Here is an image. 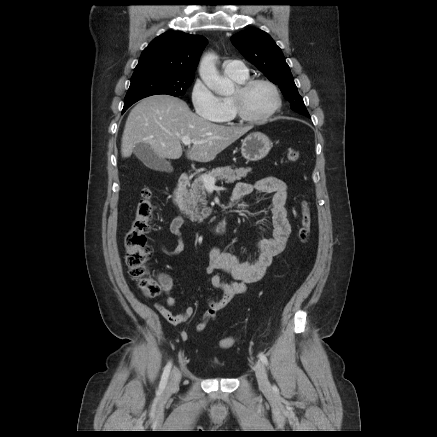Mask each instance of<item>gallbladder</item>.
<instances>
[{
	"instance_id": "obj_1",
	"label": "gallbladder",
	"mask_w": 437,
	"mask_h": 437,
	"mask_svg": "<svg viewBox=\"0 0 437 437\" xmlns=\"http://www.w3.org/2000/svg\"><path fill=\"white\" fill-rule=\"evenodd\" d=\"M133 153L146 167L152 170L166 171L169 167V163L164 158L158 156L147 143L136 144Z\"/></svg>"
}]
</instances>
